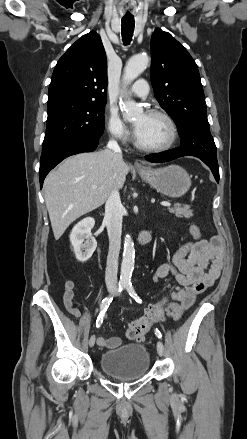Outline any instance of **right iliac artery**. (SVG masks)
Returning <instances> with one entry per match:
<instances>
[{
  "instance_id": "right-iliac-artery-1",
  "label": "right iliac artery",
  "mask_w": 247,
  "mask_h": 439,
  "mask_svg": "<svg viewBox=\"0 0 247 439\" xmlns=\"http://www.w3.org/2000/svg\"><path fill=\"white\" fill-rule=\"evenodd\" d=\"M125 288H126L125 284H123V283L119 284L117 293L122 292ZM113 296L106 297L102 300L101 305H100V314L96 320V327L97 328L101 326V324L103 322L104 314H105L110 302L112 301Z\"/></svg>"
}]
</instances>
